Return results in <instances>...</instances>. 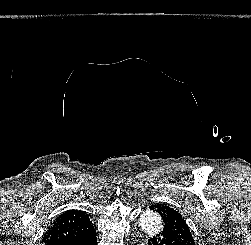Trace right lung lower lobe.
Masks as SVG:
<instances>
[{
  "instance_id": "1",
  "label": "right lung lower lobe",
  "mask_w": 251,
  "mask_h": 245,
  "mask_svg": "<svg viewBox=\"0 0 251 245\" xmlns=\"http://www.w3.org/2000/svg\"><path fill=\"white\" fill-rule=\"evenodd\" d=\"M48 245H97L95 230L87 236L48 243Z\"/></svg>"
}]
</instances>
